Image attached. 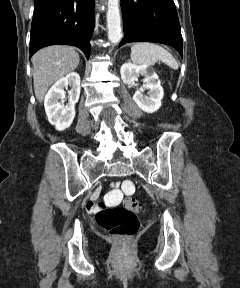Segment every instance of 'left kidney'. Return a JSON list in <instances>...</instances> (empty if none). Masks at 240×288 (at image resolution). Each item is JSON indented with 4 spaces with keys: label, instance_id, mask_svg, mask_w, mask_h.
I'll return each mask as SVG.
<instances>
[{
    "label": "left kidney",
    "instance_id": "left-kidney-1",
    "mask_svg": "<svg viewBox=\"0 0 240 288\" xmlns=\"http://www.w3.org/2000/svg\"><path fill=\"white\" fill-rule=\"evenodd\" d=\"M123 82L129 86L134 85L138 77L144 76L143 85L133 95V100L146 113H154L161 107L164 91L158 75L146 65L124 63L120 69ZM148 90L147 95L143 92Z\"/></svg>",
    "mask_w": 240,
    "mask_h": 288
}]
</instances>
